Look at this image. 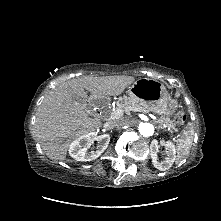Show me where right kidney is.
Instances as JSON below:
<instances>
[{"instance_id":"ca27d5eb","label":"right kidney","mask_w":221,"mask_h":221,"mask_svg":"<svg viewBox=\"0 0 221 221\" xmlns=\"http://www.w3.org/2000/svg\"><path fill=\"white\" fill-rule=\"evenodd\" d=\"M97 141L95 151L87 149ZM110 136L108 134L97 135L94 132L76 138L69 145V154L77 161H91L98 158L108 147Z\"/></svg>"}]
</instances>
